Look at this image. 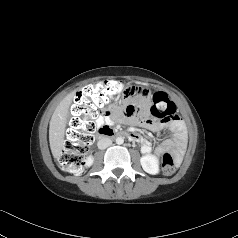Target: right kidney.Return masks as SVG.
I'll use <instances>...</instances> for the list:
<instances>
[{
  "instance_id": "ca27d5eb",
  "label": "right kidney",
  "mask_w": 238,
  "mask_h": 238,
  "mask_svg": "<svg viewBox=\"0 0 238 238\" xmlns=\"http://www.w3.org/2000/svg\"><path fill=\"white\" fill-rule=\"evenodd\" d=\"M93 160H94L93 156H88L86 159V166L90 167L93 164Z\"/></svg>"
}]
</instances>
